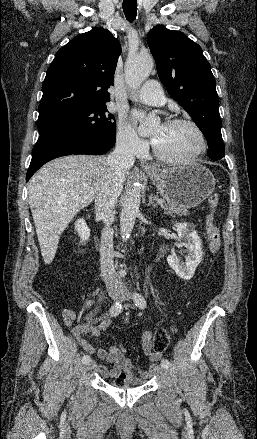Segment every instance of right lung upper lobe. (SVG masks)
<instances>
[{
  "label": "right lung upper lobe",
  "instance_id": "1",
  "mask_svg": "<svg viewBox=\"0 0 257 439\" xmlns=\"http://www.w3.org/2000/svg\"><path fill=\"white\" fill-rule=\"evenodd\" d=\"M121 53L117 39L103 28L74 37L55 55L47 70L39 119L106 104Z\"/></svg>",
  "mask_w": 257,
  "mask_h": 439
}]
</instances>
